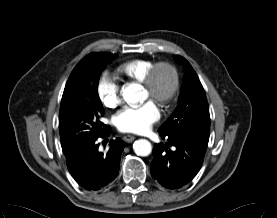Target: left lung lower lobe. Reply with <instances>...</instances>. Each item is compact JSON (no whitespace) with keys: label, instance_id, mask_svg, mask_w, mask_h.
<instances>
[{"label":"left lung lower lobe","instance_id":"obj_1","mask_svg":"<svg viewBox=\"0 0 277 218\" xmlns=\"http://www.w3.org/2000/svg\"><path fill=\"white\" fill-rule=\"evenodd\" d=\"M168 138L166 145L153 149L151 174L169 189L180 188L191 181L202 166L209 135L170 131L159 133ZM173 146V149L170 147Z\"/></svg>","mask_w":277,"mask_h":218}]
</instances>
